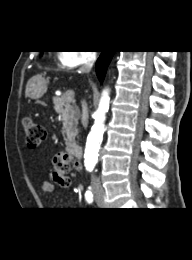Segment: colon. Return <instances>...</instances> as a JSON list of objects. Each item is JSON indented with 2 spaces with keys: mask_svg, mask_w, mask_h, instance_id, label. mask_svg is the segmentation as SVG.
I'll return each mask as SVG.
<instances>
[{
  "mask_svg": "<svg viewBox=\"0 0 192 260\" xmlns=\"http://www.w3.org/2000/svg\"><path fill=\"white\" fill-rule=\"evenodd\" d=\"M23 128L25 143L29 148L38 147L45 139V129L34 120L29 118L24 119ZM75 167H77V163L74 162L67 154H57L53 160L54 181L60 186H69L70 179L67 174L72 168Z\"/></svg>",
  "mask_w": 192,
  "mask_h": 260,
  "instance_id": "colon-1",
  "label": "colon"
}]
</instances>
